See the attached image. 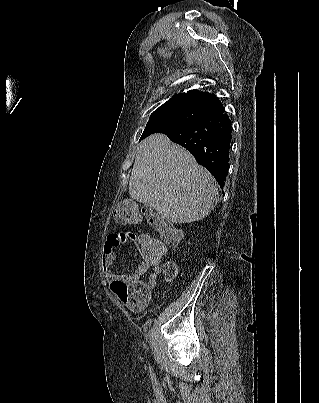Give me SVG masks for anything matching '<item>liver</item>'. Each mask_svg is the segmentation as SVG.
I'll list each match as a JSON object with an SVG mask.
<instances>
[{"mask_svg":"<svg viewBox=\"0 0 319 403\" xmlns=\"http://www.w3.org/2000/svg\"><path fill=\"white\" fill-rule=\"evenodd\" d=\"M129 194L171 222L191 223L214 208L218 185L187 150L156 133L138 146Z\"/></svg>","mask_w":319,"mask_h":403,"instance_id":"6515ba94","label":"liver"}]
</instances>
